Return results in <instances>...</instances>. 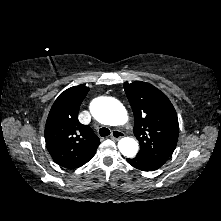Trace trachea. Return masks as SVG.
I'll list each match as a JSON object with an SVG mask.
<instances>
[{
    "label": "trachea",
    "mask_w": 221,
    "mask_h": 221,
    "mask_svg": "<svg viewBox=\"0 0 221 221\" xmlns=\"http://www.w3.org/2000/svg\"><path fill=\"white\" fill-rule=\"evenodd\" d=\"M99 134H100L101 137L108 136V135H110V130L108 128H105V127L100 128L99 129Z\"/></svg>",
    "instance_id": "1"
}]
</instances>
